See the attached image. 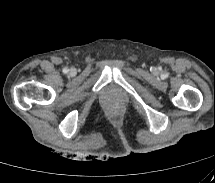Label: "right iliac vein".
Returning <instances> with one entry per match:
<instances>
[{
  "instance_id": "right-iliac-vein-1",
  "label": "right iliac vein",
  "mask_w": 215,
  "mask_h": 183,
  "mask_svg": "<svg viewBox=\"0 0 215 183\" xmlns=\"http://www.w3.org/2000/svg\"><path fill=\"white\" fill-rule=\"evenodd\" d=\"M70 74L74 75L75 74V70L74 69H70Z\"/></svg>"
}]
</instances>
